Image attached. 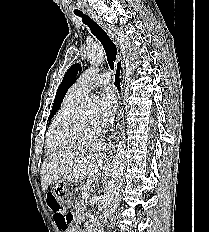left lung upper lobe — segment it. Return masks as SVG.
Wrapping results in <instances>:
<instances>
[{
  "label": "left lung upper lobe",
  "instance_id": "obj_1",
  "mask_svg": "<svg viewBox=\"0 0 209 232\" xmlns=\"http://www.w3.org/2000/svg\"><path fill=\"white\" fill-rule=\"evenodd\" d=\"M79 69H81V64L76 63V64L72 65L68 69L66 74L64 75V78L57 89L49 119H51L55 115L57 110L60 108L61 103L64 99V96H65L67 90L74 84V82L76 80V76L78 74Z\"/></svg>",
  "mask_w": 209,
  "mask_h": 232
}]
</instances>
